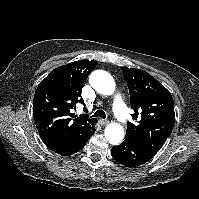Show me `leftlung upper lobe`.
I'll return each mask as SVG.
<instances>
[{"instance_id":"obj_1","label":"left lung upper lobe","mask_w":199,"mask_h":199,"mask_svg":"<svg viewBox=\"0 0 199 199\" xmlns=\"http://www.w3.org/2000/svg\"><path fill=\"white\" fill-rule=\"evenodd\" d=\"M122 72L135 111L132 117L138 118L136 125L129 123L126 138L156 154L174 126L173 98L160 82L145 71L122 67Z\"/></svg>"}]
</instances>
